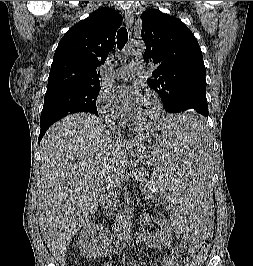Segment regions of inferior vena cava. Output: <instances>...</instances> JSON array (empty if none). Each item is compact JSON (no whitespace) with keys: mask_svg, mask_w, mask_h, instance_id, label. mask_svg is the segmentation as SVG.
Segmentation results:
<instances>
[{"mask_svg":"<svg viewBox=\"0 0 253 266\" xmlns=\"http://www.w3.org/2000/svg\"><path fill=\"white\" fill-rule=\"evenodd\" d=\"M106 124H107V132H108V134H110L111 136L113 135V136H115L116 137V135L118 136V137H120L121 136V131H120V129H116V126H115V120L114 119H106ZM114 196V194L113 193H110L109 195H108V200L110 201V199H111V202H112V199L114 200V198H112ZM118 220V219H117Z\"/></svg>","mask_w":253,"mask_h":266,"instance_id":"obj_1","label":"inferior vena cava"}]
</instances>
